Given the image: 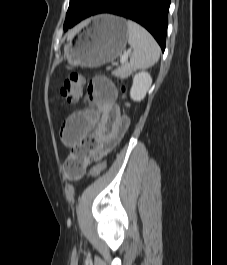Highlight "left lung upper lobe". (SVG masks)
<instances>
[{
	"instance_id": "5c2ea615",
	"label": "left lung upper lobe",
	"mask_w": 227,
	"mask_h": 265,
	"mask_svg": "<svg viewBox=\"0 0 227 265\" xmlns=\"http://www.w3.org/2000/svg\"><path fill=\"white\" fill-rule=\"evenodd\" d=\"M106 0H70L66 14L64 29L72 27L81 20L89 17Z\"/></svg>"
}]
</instances>
